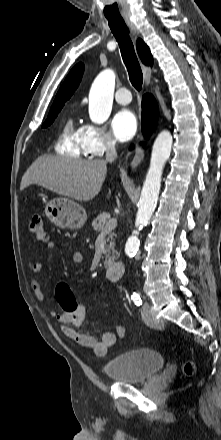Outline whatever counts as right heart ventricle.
I'll return each mask as SVG.
<instances>
[{
	"label": "right heart ventricle",
	"instance_id": "e07e8e85",
	"mask_svg": "<svg viewBox=\"0 0 221 440\" xmlns=\"http://www.w3.org/2000/svg\"><path fill=\"white\" fill-rule=\"evenodd\" d=\"M57 153L75 159L89 156L87 151L83 127H78L72 118L62 124L55 144Z\"/></svg>",
	"mask_w": 221,
	"mask_h": 440
}]
</instances>
